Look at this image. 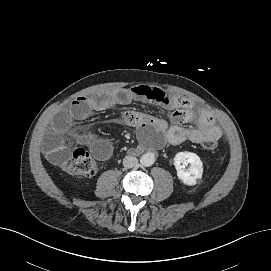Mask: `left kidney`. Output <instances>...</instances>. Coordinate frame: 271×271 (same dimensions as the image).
<instances>
[{
  "mask_svg": "<svg viewBox=\"0 0 271 271\" xmlns=\"http://www.w3.org/2000/svg\"><path fill=\"white\" fill-rule=\"evenodd\" d=\"M190 163L188 170L185 166ZM174 166L179 180L185 185H195L198 179L202 178L203 168L200 157L192 152H179L174 157Z\"/></svg>",
  "mask_w": 271,
  "mask_h": 271,
  "instance_id": "obj_1",
  "label": "left kidney"
}]
</instances>
